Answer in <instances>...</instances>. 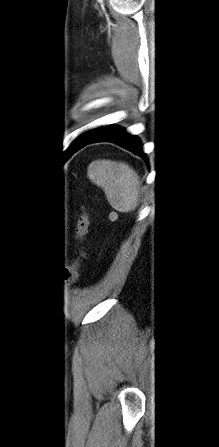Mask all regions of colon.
Returning a JSON list of instances; mask_svg holds the SVG:
<instances>
[{
    "mask_svg": "<svg viewBox=\"0 0 219 447\" xmlns=\"http://www.w3.org/2000/svg\"><path fill=\"white\" fill-rule=\"evenodd\" d=\"M90 224V209L83 207L80 216L76 223V234L79 238H84L89 229ZM83 253L79 255L63 270L62 277L64 281L70 285H73L78 277V270L82 263Z\"/></svg>",
    "mask_w": 219,
    "mask_h": 447,
    "instance_id": "colon-1",
    "label": "colon"
}]
</instances>
